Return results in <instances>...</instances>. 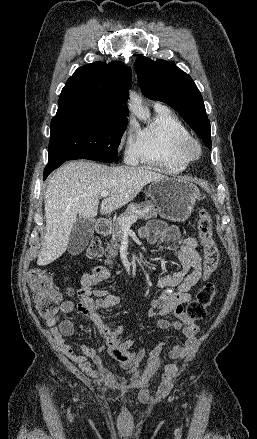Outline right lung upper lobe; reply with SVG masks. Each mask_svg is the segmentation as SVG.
Masks as SVG:
<instances>
[{
	"label": "right lung upper lobe",
	"mask_w": 257,
	"mask_h": 439,
	"mask_svg": "<svg viewBox=\"0 0 257 439\" xmlns=\"http://www.w3.org/2000/svg\"><path fill=\"white\" fill-rule=\"evenodd\" d=\"M132 71L121 62H95L78 68L62 89L56 116L73 112L128 115Z\"/></svg>",
	"instance_id": "right-lung-upper-lobe-1"
}]
</instances>
